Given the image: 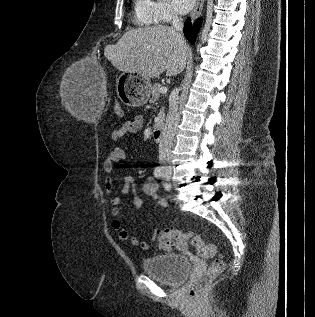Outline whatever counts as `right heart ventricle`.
Instances as JSON below:
<instances>
[{
  "label": "right heart ventricle",
  "mask_w": 315,
  "mask_h": 317,
  "mask_svg": "<svg viewBox=\"0 0 315 317\" xmlns=\"http://www.w3.org/2000/svg\"><path fill=\"white\" fill-rule=\"evenodd\" d=\"M133 22L141 27L151 26L157 22L146 0L134 1Z\"/></svg>",
  "instance_id": "right-heart-ventricle-1"
}]
</instances>
